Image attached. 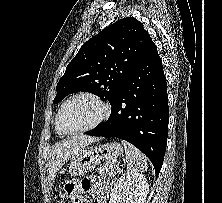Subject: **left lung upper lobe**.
<instances>
[{
  "label": "left lung upper lobe",
  "mask_w": 222,
  "mask_h": 203,
  "mask_svg": "<svg viewBox=\"0 0 222 203\" xmlns=\"http://www.w3.org/2000/svg\"><path fill=\"white\" fill-rule=\"evenodd\" d=\"M151 39L143 23L126 17L103 29L80 48L59 80L53 104L75 92H90L110 103Z\"/></svg>",
  "instance_id": "1"
}]
</instances>
